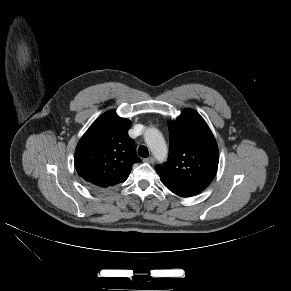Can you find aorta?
I'll list each match as a JSON object with an SVG mask.
<instances>
[{
  "label": "aorta",
  "instance_id": "1",
  "mask_svg": "<svg viewBox=\"0 0 291 291\" xmlns=\"http://www.w3.org/2000/svg\"><path fill=\"white\" fill-rule=\"evenodd\" d=\"M144 139L154 157L159 162L165 161L168 149L161 132L156 128H149L144 134Z\"/></svg>",
  "mask_w": 291,
  "mask_h": 291
}]
</instances>
